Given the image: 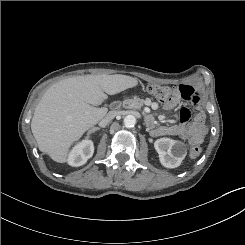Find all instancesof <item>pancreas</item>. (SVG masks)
<instances>
[{
  "mask_svg": "<svg viewBox=\"0 0 245 245\" xmlns=\"http://www.w3.org/2000/svg\"><path fill=\"white\" fill-rule=\"evenodd\" d=\"M144 104V100L140 98L126 99L122 103H119V107L126 109H140Z\"/></svg>",
  "mask_w": 245,
  "mask_h": 245,
  "instance_id": "obj_1",
  "label": "pancreas"
}]
</instances>
